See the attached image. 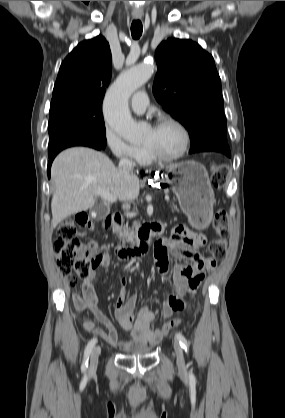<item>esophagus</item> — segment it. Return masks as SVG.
<instances>
[{
	"instance_id": "34e87169",
	"label": "esophagus",
	"mask_w": 285,
	"mask_h": 418,
	"mask_svg": "<svg viewBox=\"0 0 285 418\" xmlns=\"http://www.w3.org/2000/svg\"><path fill=\"white\" fill-rule=\"evenodd\" d=\"M134 18L135 19H140L141 18V15H134Z\"/></svg>"
}]
</instances>
